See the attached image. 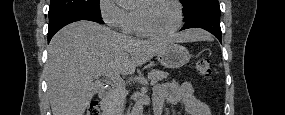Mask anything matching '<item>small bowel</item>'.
<instances>
[{
  "label": "small bowel",
  "mask_w": 285,
  "mask_h": 115,
  "mask_svg": "<svg viewBox=\"0 0 285 115\" xmlns=\"http://www.w3.org/2000/svg\"><path fill=\"white\" fill-rule=\"evenodd\" d=\"M183 104L188 115H211L209 107L200 101L190 82H166L156 87L153 96V108L156 115H163V106Z\"/></svg>",
  "instance_id": "small-bowel-1"
}]
</instances>
